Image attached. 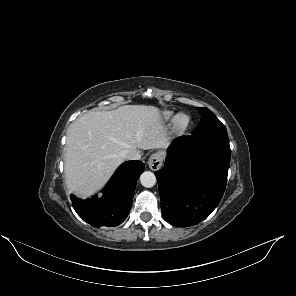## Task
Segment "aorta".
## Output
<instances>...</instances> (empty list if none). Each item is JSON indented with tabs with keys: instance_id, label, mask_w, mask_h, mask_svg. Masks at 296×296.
Instances as JSON below:
<instances>
[{
	"instance_id": "aorta-1",
	"label": "aorta",
	"mask_w": 296,
	"mask_h": 296,
	"mask_svg": "<svg viewBox=\"0 0 296 296\" xmlns=\"http://www.w3.org/2000/svg\"><path fill=\"white\" fill-rule=\"evenodd\" d=\"M140 182L142 186L146 188H151L156 184V177L154 173L150 171H145L140 175Z\"/></svg>"
}]
</instances>
